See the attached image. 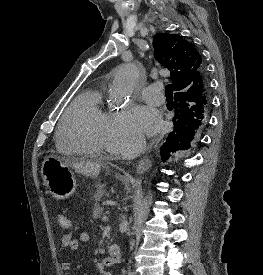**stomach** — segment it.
I'll return each mask as SVG.
<instances>
[{"mask_svg":"<svg viewBox=\"0 0 263 275\" xmlns=\"http://www.w3.org/2000/svg\"><path fill=\"white\" fill-rule=\"evenodd\" d=\"M41 173L49 193L55 199H66L75 193L77 185L74 172L59 157H46L42 163Z\"/></svg>","mask_w":263,"mask_h":275,"instance_id":"0dacf381","label":"stomach"}]
</instances>
